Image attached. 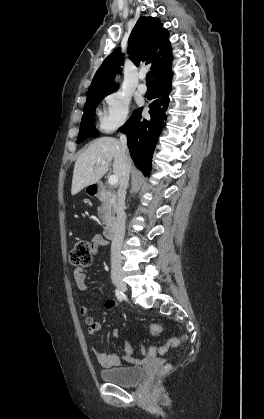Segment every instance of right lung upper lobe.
<instances>
[{
	"label": "right lung upper lobe",
	"mask_w": 264,
	"mask_h": 419,
	"mask_svg": "<svg viewBox=\"0 0 264 419\" xmlns=\"http://www.w3.org/2000/svg\"><path fill=\"white\" fill-rule=\"evenodd\" d=\"M162 26L157 18L140 17L128 39L127 52L130 58L137 66L140 61L152 63L151 73L154 79L161 74L171 72L172 50L169 33ZM123 56L118 48L104 60L94 75L87 98L110 94L116 90L113 79L121 70Z\"/></svg>",
	"instance_id": "1"
}]
</instances>
